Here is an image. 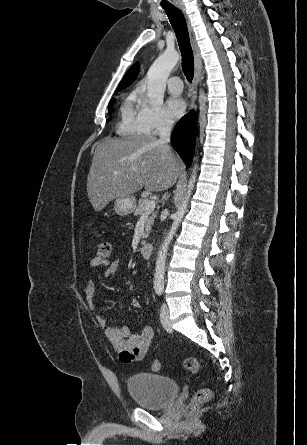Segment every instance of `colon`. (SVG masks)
<instances>
[{
  "label": "colon",
  "mask_w": 307,
  "mask_h": 445,
  "mask_svg": "<svg viewBox=\"0 0 307 445\" xmlns=\"http://www.w3.org/2000/svg\"><path fill=\"white\" fill-rule=\"evenodd\" d=\"M112 248L110 243L102 242L97 245L96 254L99 259H107L110 257ZM184 368L192 373H197L199 370V363L196 358L188 357L184 360ZM152 369L154 371H159L161 369L160 361L156 360L152 364ZM211 398V391L208 388H202L197 390L194 395L192 402L194 405H202L208 402Z\"/></svg>",
  "instance_id": "1"
}]
</instances>
